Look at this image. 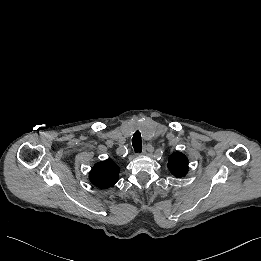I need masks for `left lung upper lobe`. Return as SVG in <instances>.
<instances>
[{
  "mask_svg": "<svg viewBox=\"0 0 261 261\" xmlns=\"http://www.w3.org/2000/svg\"><path fill=\"white\" fill-rule=\"evenodd\" d=\"M168 168L175 177L185 176L188 172V159L180 153L175 152L168 158Z\"/></svg>",
  "mask_w": 261,
  "mask_h": 261,
  "instance_id": "5c2ea615",
  "label": "left lung upper lobe"
}]
</instances>
